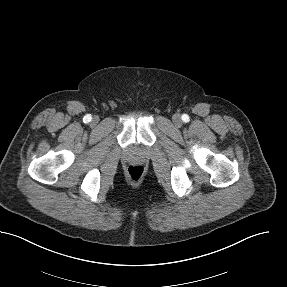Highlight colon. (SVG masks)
Listing matches in <instances>:
<instances>
[{
    "instance_id": "obj_1",
    "label": "colon",
    "mask_w": 287,
    "mask_h": 287,
    "mask_svg": "<svg viewBox=\"0 0 287 287\" xmlns=\"http://www.w3.org/2000/svg\"><path fill=\"white\" fill-rule=\"evenodd\" d=\"M144 167L139 164H133L128 166L127 168V176L132 180V181H139L142 179L144 175Z\"/></svg>"
}]
</instances>
